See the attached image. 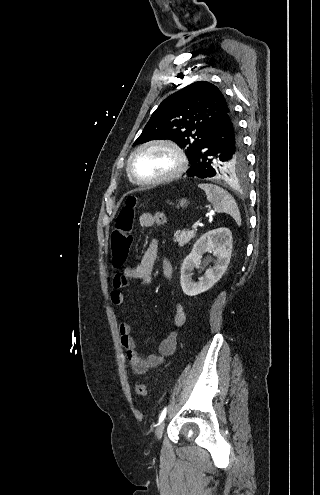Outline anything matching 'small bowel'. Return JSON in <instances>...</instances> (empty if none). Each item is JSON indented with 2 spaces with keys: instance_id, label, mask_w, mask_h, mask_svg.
Instances as JSON below:
<instances>
[{
  "instance_id": "1",
  "label": "small bowel",
  "mask_w": 320,
  "mask_h": 495,
  "mask_svg": "<svg viewBox=\"0 0 320 495\" xmlns=\"http://www.w3.org/2000/svg\"><path fill=\"white\" fill-rule=\"evenodd\" d=\"M163 216L159 213H143L139 217V224L142 228H152L163 221ZM159 243L153 239L144 252L140 262L133 267H127L122 272L116 273L113 277V290L110 294L112 304L122 306L125 302L122 289L127 286L128 280H137L142 285H147L152 280L153 267L157 258ZM162 273L166 280H171L173 267L169 260L162 263ZM186 321V315L182 304L177 303L175 314L172 320L173 331L160 339L157 352L150 354L146 358L139 355L137 344L132 335L129 323L122 322L119 326L121 344L126 351L128 364L135 374H145L148 370L156 368L164 363V360L174 353L177 345V330L181 329Z\"/></svg>"
}]
</instances>
